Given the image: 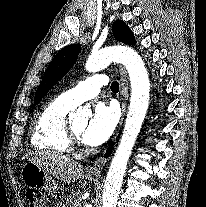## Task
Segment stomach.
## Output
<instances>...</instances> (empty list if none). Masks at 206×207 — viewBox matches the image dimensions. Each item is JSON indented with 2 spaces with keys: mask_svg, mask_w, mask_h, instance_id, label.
<instances>
[{
  "mask_svg": "<svg viewBox=\"0 0 206 207\" xmlns=\"http://www.w3.org/2000/svg\"><path fill=\"white\" fill-rule=\"evenodd\" d=\"M21 180L32 189L55 192L58 189L57 182L52 176L33 162H26L21 167ZM89 180L94 181L93 178Z\"/></svg>",
  "mask_w": 206,
  "mask_h": 207,
  "instance_id": "1",
  "label": "stomach"
}]
</instances>
